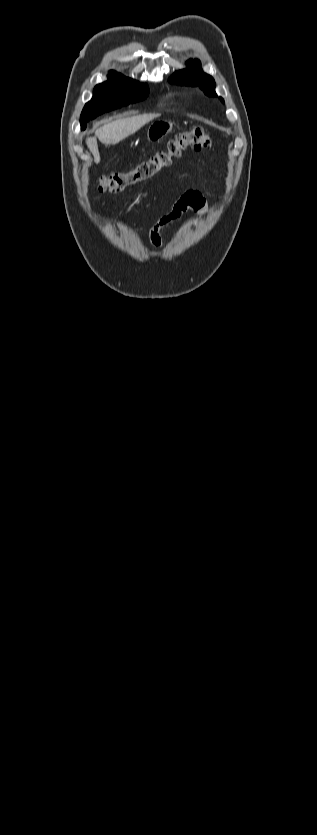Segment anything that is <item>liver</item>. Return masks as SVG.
Wrapping results in <instances>:
<instances>
[{
    "label": "liver",
    "instance_id": "6515ba94",
    "mask_svg": "<svg viewBox=\"0 0 317 835\" xmlns=\"http://www.w3.org/2000/svg\"><path fill=\"white\" fill-rule=\"evenodd\" d=\"M156 116L142 114L131 117L120 118L108 123L96 130L95 137H88L86 144L94 156L96 164L100 163L97 138L105 145H115L137 132L145 124L152 121Z\"/></svg>",
    "mask_w": 317,
    "mask_h": 835
}]
</instances>
